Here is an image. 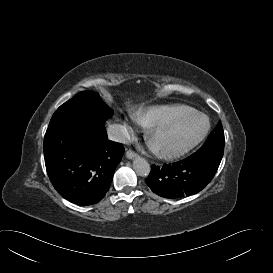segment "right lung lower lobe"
Segmentation results:
<instances>
[{
  "instance_id": "obj_1",
  "label": "right lung lower lobe",
  "mask_w": 273,
  "mask_h": 273,
  "mask_svg": "<svg viewBox=\"0 0 273 273\" xmlns=\"http://www.w3.org/2000/svg\"><path fill=\"white\" fill-rule=\"evenodd\" d=\"M121 143L107 139L105 122L60 113L44 138L48 176L57 192L78 205L98 203L122 159Z\"/></svg>"
}]
</instances>
